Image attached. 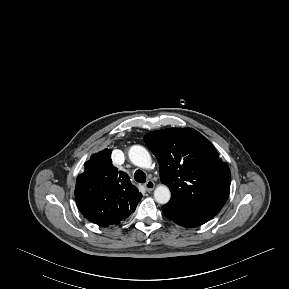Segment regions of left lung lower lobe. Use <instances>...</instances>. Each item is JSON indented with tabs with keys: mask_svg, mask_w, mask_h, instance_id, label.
Instances as JSON below:
<instances>
[{
	"mask_svg": "<svg viewBox=\"0 0 289 289\" xmlns=\"http://www.w3.org/2000/svg\"><path fill=\"white\" fill-rule=\"evenodd\" d=\"M162 211L168 219L184 227L202 225L216 215L201 207L179 201H169L162 206Z\"/></svg>",
	"mask_w": 289,
	"mask_h": 289,
	"instance_id": "left-lung-lower-lobe-1",
	"label": "left lung lower lobe"
}]
</instances>
